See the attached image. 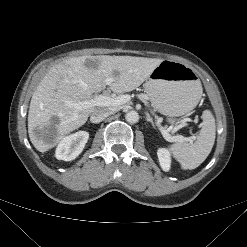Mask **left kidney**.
I'll use <instances>...</instances> for the list:
<instances>
[{"label": "left kidney", "instance_id": "left-kidney-1", "mask_svg": "<svg viewBox=\"0 0 247 247\" xmlns=\"http://www.w3.org/2000/svg\"><path fill=\"white\" fill-rule=\"evenodd\" d=\"M157 155L161 168L164 171H169L171 167V157L169 151L165 148H160L158 149Z\"/></svg>", "mask_w": 247, "mask_h": 247}]
</instances>
